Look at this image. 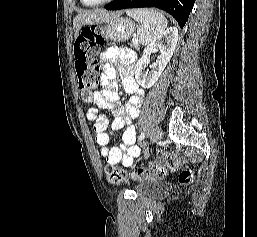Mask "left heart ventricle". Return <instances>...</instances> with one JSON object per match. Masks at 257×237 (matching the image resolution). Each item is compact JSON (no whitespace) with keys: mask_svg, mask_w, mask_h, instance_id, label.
Masks as SVG:
<instances>
[{"mask_svg":"<svg viewBox=\"0 0 257 237\" xmlns=\"http://www.w3.org/2000/svg\"><path fill=\"white\" fill-rule=\"evenodd\" d=\"M87 2H90V3H93V2H99V1H102V0H86Z\"/></svg>","mask_w":257,"mask_h":237,"instance_id":"left-heart-ventricle-1","label":"left heart ventricle"}]
</instances>
